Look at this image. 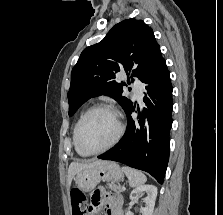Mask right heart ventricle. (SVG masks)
Returning a JSON list of instances; mask_svg holds the SVG:
<instances>
[{
	"instance_id": "1",
	"label": "right heart ventricle",
	"mask_w": 223,
	"mask_h": 215,
	"mask_svg": "<svg viewBox=\"0 0 223 215\" xmlns=\"http://www.w3.org/2000/svg\"><path fill=\"white\" fill-rule=\"evenodd\" d=\"M82 117V116H81ZM80 117V118H81ZM80 118L77 120V122L75 123V126L73 128V132H72V140H73V143H74V137H75V130H76V126L78 124V121L80 120ZM74 146H75V143H74ZM76 148V147H75Z\"/></svg>"
}]
</instances>
